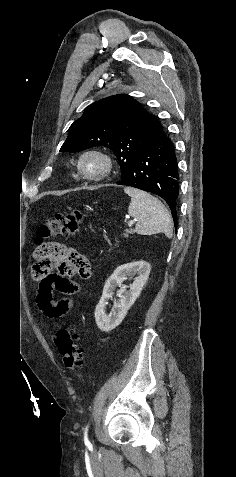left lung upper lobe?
<instances>
[{
    "instance_id": "left-lung-upper-lobe-1",
    "label": "left lung upper lobe",
    "mask_w": 236,
    "mask_h": 477,
    "mask_svg": "<svg viewBox=\"0 0 236 477\" xmlns=\"http://www.w3.org/2000/svg\"><path fill=\"white\" fill-rule=\"evenodd\" d=\"M160 125L131 96H110L89 105L74 121L60 151L107 147L116 155L124 178L133 158L150 142Z\"/></svg>"
}]
</instances>
